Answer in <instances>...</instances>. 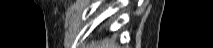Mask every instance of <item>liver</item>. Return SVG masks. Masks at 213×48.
Returning <instances> with one entry per match:
<instances>
[{
  "mask_svg": "<svg viewBox=\"0 0 213 48\" xmlns=\"http://www.w3.org/2000/svg\"><path fill=\"white\" fill-rule=\"evenodd\" d=\"M113 44L109 43H93L91 44V48H114Z\"/></svg>",
  "mask_w": 213,
  "mask_h": 48,
  "instance_id": "6515ba94",
  "label": "liver"
}]
</instances>
